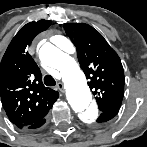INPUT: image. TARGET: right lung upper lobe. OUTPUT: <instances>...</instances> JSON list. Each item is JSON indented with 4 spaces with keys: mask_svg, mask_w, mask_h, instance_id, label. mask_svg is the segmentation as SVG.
<instances>
[{
    "mask_svg": "<svg viewBox=\"0 0 147 147\" xmlns=\"http://www.w3.org/2000/svg\"><path fill=\"white\" fill-rule=\"evenodd\" d=\"M48 20L24 25L9 44L0 63V95L10 121L18 128L45 118L59 94L46 88L41 72L27 47L50 26Z\"/></svg>",
    "mask_w": 147,
    "mask_h": 147,
    "instance_id": "cb5924a9",
    "label": "right lung upper lobe"
}]
</instances>
